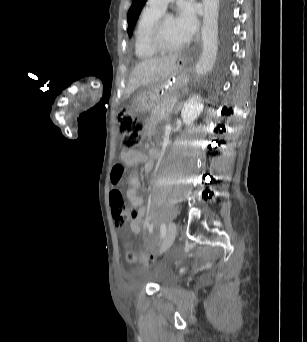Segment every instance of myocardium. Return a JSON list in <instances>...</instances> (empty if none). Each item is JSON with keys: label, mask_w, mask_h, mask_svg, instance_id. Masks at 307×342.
<instances>
[{"label": "myocardium", "mask_w": 307, "mask_h": 342, "mask_svg": "<svg viewBox=\"0 0 307 342\" xmlns=\"http://www.w3.org/2000/svg\"><path fill=\"white\" fill-rule=\"evenodd\" d=\"M169 19L166 16L158 17L151 25L148 33V45L159 55L176 56L180 54L183 48L178 50L166 49L161 43V31L165 22Z\"/></svg>", "instance_id": "f54148a6"}]
</instances>
